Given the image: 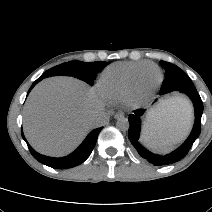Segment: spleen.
<instances>
[{"label": "spleen", "instance_id": "spleen-1", "mask_svg": "<svg viewBox=\"0 0 212 212\" xmlns=\"http://www.w3.org/2000/svg\"><path fill=\"white\" fill-rule=\"evenodd\" d=\"M177 99L185 108L191 110L190 104L185 99L179 97ZM143 141L148 147L154 150L167 152L179 140L170 134H158L155 132H149L147 129H144Z\"/></svg>", "mask_w": 212, "mask_h": 212}]
</instances>
